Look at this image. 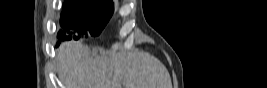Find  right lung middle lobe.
<instances>
[{"label":"right lung middle lobe","mask_w":267,"mask_h":88,"mask_svg":"<svg viewBox=\"0 0 267 88\" xmlns=\"http://www.w3.org/2000/svg\"><path fill=\"white\" fill-rule=\"evenodd\" d=\"M113 3L98 0H66L61 15L65 34L58 33L61 40L79 39L81 36H98L113 14ZM77 33L78 36L72 35Z\"/></svg>","instance_id":"dd1d6c3e"}]
</instances>
